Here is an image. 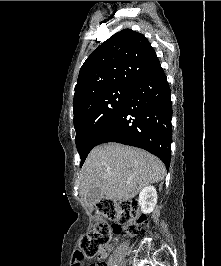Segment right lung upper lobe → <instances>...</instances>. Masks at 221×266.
<instances>
[{
  "label": "right lung upper lobe",
  "mask_w": 221,
  "mask_h": 266,
  "mask_svg": "<svg viewBox=\"0 0 221 266\" xmlns=\"http://www.w3.org/2000/svg\"><path fill=\"white\" fill-rule=\"evenodd\" d=\"M160 66L155 50L143 34L130 29L114 34L82 65L75 86L74 111L89 95L113 87H133Z\"/></svg>",
  "instance_id": "right-lung-upper-lobe-1"
}]
</instances>
